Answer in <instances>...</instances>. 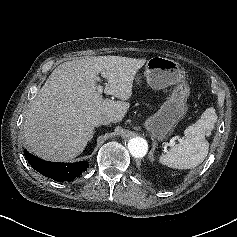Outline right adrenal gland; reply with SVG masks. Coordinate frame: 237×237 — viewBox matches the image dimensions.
Returning <instances> with one entry per match:
<instances>
[{"mask_svg": "<svg viewBox=\"0 0 237 237\" xmlns=\"http://www.w3.org/2000/svg\"><path fill=\"white\" fill-rule=\"evenodd\" d=\"M94 132H95V131H94ZM94 132H93V134H94ZM93 134H92V136H91L90 140L93 138Z\"/></svg>", "mask_w": 237, "mask_h": 237, "instance_id": "obj_1", "label": "right adrenal gland"}]
</instances>
